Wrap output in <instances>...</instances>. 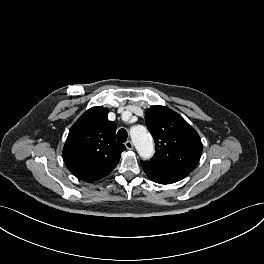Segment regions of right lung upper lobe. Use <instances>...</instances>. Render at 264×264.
I'll return each instance as SVG.
<instances>
[{
    "label": "right lung upper lobe",
    "instance_id": "right-lung-upper-lobe-1",
    "mask_svg": "<svg viewBox=\"0 0 264 264\" xmlns=\"http://www.w3.org/2000/svg\"><path fill=\"white\" fill-rule=\"evenodd\" d=\"M108 110L93 107L71 127L63 149L67 168L81 180L94 182L109 174L126 148L115 139L116 125Z\"/></svg>",
    "mask_w": 264,
    "mask_h": 264
}]
</instances>
